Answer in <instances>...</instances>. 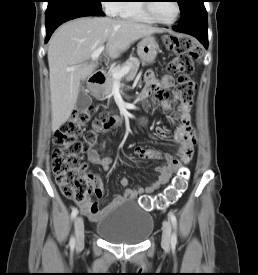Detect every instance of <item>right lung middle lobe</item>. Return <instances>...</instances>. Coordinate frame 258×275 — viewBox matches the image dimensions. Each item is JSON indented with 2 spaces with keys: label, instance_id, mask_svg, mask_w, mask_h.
<instances>
[{
  "label": "right lung middle lobe",
  "instance_id": "right-lung-middle-lobe-1",
  "mask_svg": "<svg viewBox=\"0 0 258 275\" xmlns=\"http://www.w3.org/2000/svg\"><path fill=\"white\" fill-rule=\"evenodd\" d=\"M63 3H80L87 4L95 8H102L101 0H49L47 8H51Z\"/></svg>",
  "mask_w": 258,
  "mask_h": 275
}]
</instances>
